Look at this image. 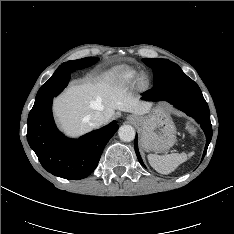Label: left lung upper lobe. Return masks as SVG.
<instances>
[{"instance_id":"1","label":"left lung upper lobe","mask_w":234,"mask_h":234,"mask_svg":"<svg viewBox=\"0 0 234 234\" xmlns=\"http://www.w3.org/2000/svg\"><path fill=\"white\" fill-rule=\"evenodd\" d=\"M143 62L153 70L154 87H159L168 81L186 76L177 64L167 59L144 58Z\"/></svg>"}]
</instances>
